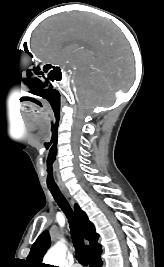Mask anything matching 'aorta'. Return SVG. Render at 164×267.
I'll return each instance as SVG.
<instances>
[{
  "label": "aorta",
  "mask_w": 164,
  "mask_h": 267,
  "mask_svg": "<svg viewBox=\"0 0 164 267\" xmlns=\"http://www.w3.org/2000/svg\"><path fill=\"white\" fill-rule=\"evenodd\" d=\"M66 246L63 242L54 245L45 255L44 262L49 265L64 267Z\"/></svg>",
  "instance_id": "762f6f07"
}]
</instances>
